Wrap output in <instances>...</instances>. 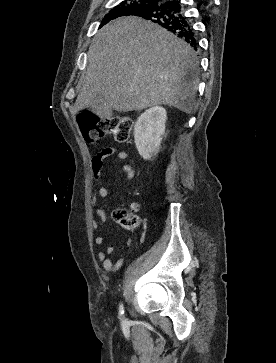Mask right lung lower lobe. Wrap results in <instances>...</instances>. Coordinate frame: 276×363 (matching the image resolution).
<instances>
[{
	"instance_id": "1",
	"label": "right lung lower lobe",
	"mask_w": 276,
	"mask_h": 363,
	"mask_svg": "<svg viewBox=\"0 0 276 363\" xmlns=\"http://www.w3.org/2000/svg\"><path fill=\"white\" fill-rule=\"evenodd\" d=\"M135 16L142 17L161 25L175 36L185 40L197 50V39L188 17L184 16L179 0H162Z\"/></svg>"
}]
</instances>
